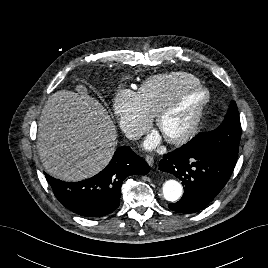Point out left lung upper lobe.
Wrapping results in <instances>:
<instances>
[{"label":"left lung upper lobe","mask_w":268,"mask_h":268,"mask_svg":"<svg viewBox=\"0 0 268 268\" xmlns=\"http://www.w3.org/2000/svg\"><path fill=\"white\" fill-rule=\"evenodd\" d=\"M240 136V118L236 103L232 101L218 128L198 134L183 147L193 151L217 153L237 160Z\"/></svg>","instance_id":"left-lung-upper-lobe-1"}]
</instances>
